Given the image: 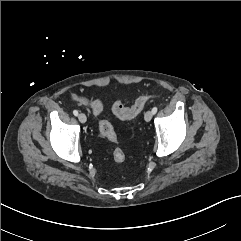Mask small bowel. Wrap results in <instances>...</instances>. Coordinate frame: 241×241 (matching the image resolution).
<instances>
[{
    "instance_id": "c3829d8e",
    "label": "small bowel",
    "mask_w": 241,
    "mask_h": 241,
    "mask_svg": "<svg viewBox=\"0 0 241 241\" xmlns=\"http://www.w3.org/2000/svg\"><path fill=\"white\" fill-rule=\"evenodd\" d=\"M74 100L81 105L89 107L94 115H99L103 110V104L98 99L88 100L82 96L75 95Z\"/></svg>"
}]
</instances>
